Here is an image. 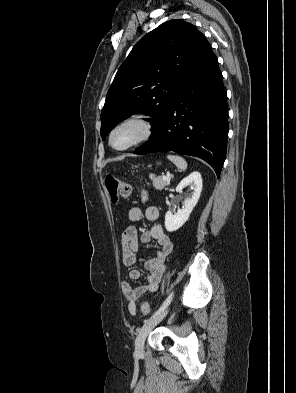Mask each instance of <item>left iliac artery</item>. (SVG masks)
I'll return each instance as SVG.
<instances>
[{
	"instance_id": "1",
	"label": "left iliac artery",
	"mask_w": 296,
	"mask_h": 393,
	"mask_svg": "<svg viewBox=\"0 0 296 393\" xmlns=\"http://www.w3.org/2000/svg\"><path fill=\"white\" fill-rule=\"evenodd\" d=\"M174 296V292L172 291L169 296L166 298V300L164 301V303L162 304V306L152 315V318H154L155 316H157L159 313H161L163 310H165L167 308V306L171 303L172 299ZM150 319H148L147 321H145V323H147Z\"/></svg>"
}]
</instances>
